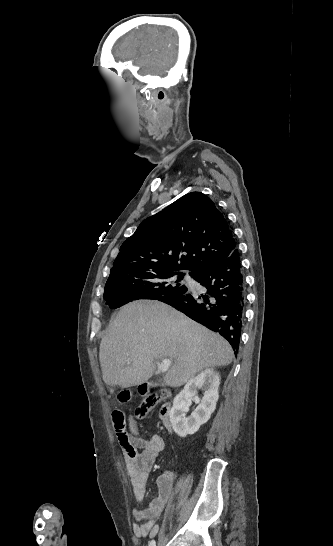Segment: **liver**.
Returning a JSON list of instances; mask_svg holds the SVG:
<instances>
[{
    "instance_id": "6515ba94",
    "label": "liver",
    "mask_w": 333,
    "mask_h": 546,
    "mask_svg": "<svg viewBox=\"0 0 333 546\" xmlns=\"http://www.w3.org/2000/svg\"><path fill=\"white\" fill-rule=\"evenodd\" d=\"M234 355L218 334L159 301H135L123 306L102 338L99 360L107 385L130 387L147 382L155 360H174L164 377L178 387L198 372L226 366Z\"/></svg>"
}]
</instances>
